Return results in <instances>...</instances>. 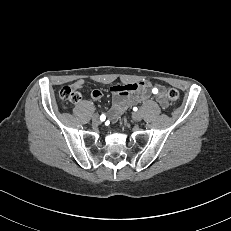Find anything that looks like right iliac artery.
<instances>
[{
	"mask_svg": "<svg viewBox=\"0 0 231 231\" xmlns=\"http://www.w3.org/2000/svg\"><path fill=\"white\" fill-rule=\"evenodd\" d=\"M105 118H106V116H105L104 114H102V115L100 116V120H101V121H104Z\"/></svg>",
	"mask_w": 231,
	"mask_h": 231,
	"instance_id": "right-iliac-artery-1",
	"label": "right iliac artery"
}]
</instances>
